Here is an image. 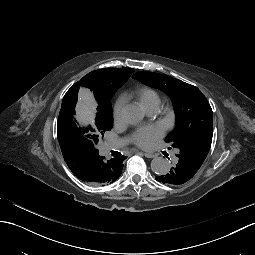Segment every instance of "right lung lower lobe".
<instances>
[{
	"label": "right lung lower lobe",
	"instance_id": "obj_1",
	"mask_svg": "<svg viewBox=\"0 0 255 255\" xmlns=\"http://www.w3.org/2000/svg\"><path fill=\"white\" fill-rule=\"evenodd\" d=\"M89 178H90V180H92V181H97V180H99V178H100V173H99L98 168H97L96 166H93V167L91 168V171H90V173H89Z\"/></svg>",
	"mask_w": 255,
	"mask_h": 255
}]
</instances>
